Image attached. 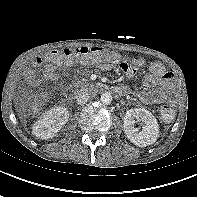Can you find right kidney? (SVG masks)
<instances>
[{
    "mask_svg": "<svg viewBox=\"0 0 197 197\" xmlns=\"http://www.w3.org/2000/svg\"><path fill=\"white\" fill-rule=\"evenodd\" d=\"M69 118V111L63 106H58L45 112L33 127V134L40 139L52 138Z\"/></svg>",
    "mask_w": 197,
    "mask_h": 197,
    "instance_id": "1",
    "label": "right kidney"
}]
</instances>
